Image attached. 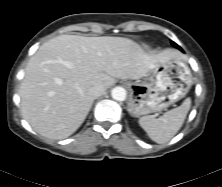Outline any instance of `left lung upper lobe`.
<instances>
[{"instance_id":"obj_1","label":"left lung upper lobe","mask_w":222,"mask_h":187,"mask_svg":"<svg viewBox=\"0 0 222 187\" xmlns=\"http://www.w3.org/2000/svg\"><path fill=\"white\" fill-rule=\"evenodd\" d=\"M171 43H172V45H173L174 47L180 49V47H179L176 43H174L173 41H172Z\"/></svg>"}]
</instances>
